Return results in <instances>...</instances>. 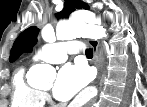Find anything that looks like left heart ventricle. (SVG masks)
I'll use <instances>...</instances> for the list:
<instances>
[{
    "instance_id": "1",
    "label": "left heart ventricle",
    "mask_w": 147,
    "mask_h": 107,
    "mask_svg": "<svg viewBox=\"0 0 147 107\" xmlns=\"http://www.w3.org/2000/svg\"><path fill=\"white\" fill-rule=\"evenodd\" d=\"M50 86H51V85H48L45 89H46V90H47V89H49V88H50Z\"/></svg>"
}]
</instances>
